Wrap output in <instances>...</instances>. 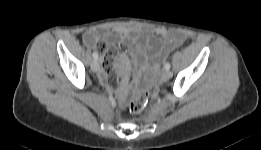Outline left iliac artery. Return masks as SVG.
I'll return each mask as SVG.
<instances>
[{
	"label": "left iliac artery",
	"instance_id": "1",
	"mask_svg": "<svg viewBox=\"0 0 261 150\" xmlns=\"http://www.w3.org/2000/svg\"><path fill=\"white\" fill-rule=\"evenodd\" d=\"M164 67H165L166 70H169L171 65H170V63H166Z\"/></svg>",
	"mask_w": 261,
	"mask_h": 150
}]
</instances>
